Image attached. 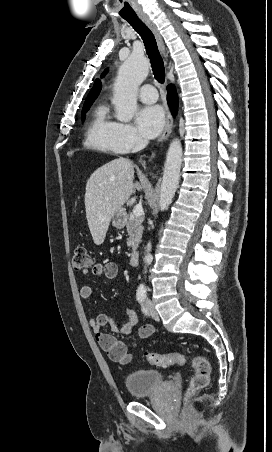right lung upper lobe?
Listing matches in <instances>:
<instances>
[{
	"instance_id": "right-lung-upper-lobe-1",
	"label": "right lung upper lobe",
	"mask_w": 272,
	"mask_h": 452,
	"mask_svg": "<svg viewBox=\"0 0 272 452\" xmlns=\"http://www.w3.org/2000/svg\"><path fill=\"white\" fill-rule=\"evenodd\" d=\"M101 88H102V86H101L100 81L96 80L95 83H94V86L91 89V91L89 92L84 104L93 103V101L95 100V98L99 94Z\"/></svg>"
}]
</instances>
